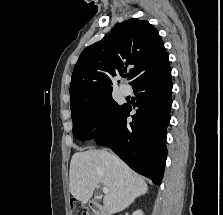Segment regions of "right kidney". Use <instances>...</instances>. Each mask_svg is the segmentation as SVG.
Segmentation results:
<instances>
[{
  "mask_svg": "<svg viewBox=\"0 0 223 215\" xmlns=\"http://www.w3.org/2000/svg\"><path fill=\"white\" fill-rule=\"evenodd\" d=\"M132 215H143V211H141V209H136V211H133Z\"/></svg>",
  "mask_w": 223,
  "mask_h": 215,
  "instance_id": "ca27d5eb",
  "label": "right kidney"
}]
</instances>
